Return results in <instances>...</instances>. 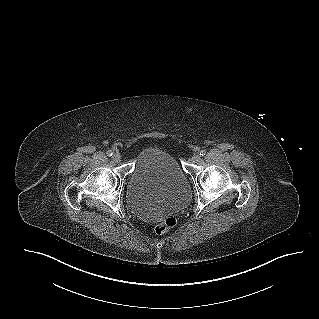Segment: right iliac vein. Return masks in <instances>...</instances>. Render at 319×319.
Returning <instances> with one entry per match:
<instances>
[{
    "mask_svg": "<svg viewBox=\"0 0 319 319\" xmlns=\"http://www.w3.org/2000/svg\"><path fill=\"white\" fill-rule=\"evenodd\" d=\"M112 160L114 161V162H120L121 161V156L119 155V154H114L113 156H112Z\"/></svg>",
    "mask_w": 319,
    "mask_h": 319,
    "instance_id": "right-iliac-vein-1",
    "label": "right iliac vein"
}]
</instances>
